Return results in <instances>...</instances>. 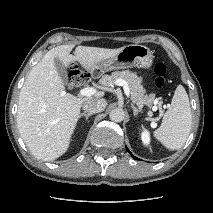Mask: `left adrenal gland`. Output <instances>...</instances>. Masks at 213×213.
Here are the masks:
<instances>
[{
	"instance_id": "left-adrenal-gland-1",
	"label": "left adrenal gland",
	"mask_w": 213,
	"mask_h": 213,
	"mask_svg": "<svg viewBox=\"0 0 213 213\" xmlns=\"http://www.w3.org/2000/svg\"><path fill=\"white\" fill-rule=\"evenodd\" d=\"M131 107H132V109H133V114H134L135 117L138 115V113L142 112V110L137 109V108L134 106V104H132V103H131Z\"/></svg>"
}]
</instances>
